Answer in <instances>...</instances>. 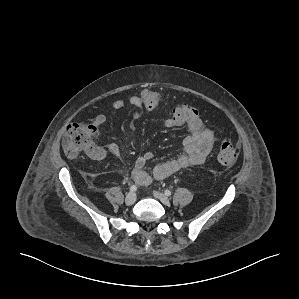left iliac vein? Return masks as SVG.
I'll list each match as a JSON object with an SVG mask.
<instances>
[{"label":"left iliac vein","instance_id":"1","mask_svg":"<svg viewBox=\"0 0 299 299\" xmlns=\"http://www.w3.org/2000/svg\"><path fill=\"white\" fill-rule=\"evenodd\" d=\"M154 197L158 200H160L163 204L165 205H169L170 204V200L169 198L163 194V193H160V192H157V191H154Z\"/></svg>","mask_w":299,"mask_h":299}]
</instances>
